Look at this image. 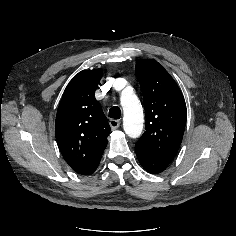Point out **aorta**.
<instances>
[{
    "label": "aorta",
    "instance_id": "762f6f07",
    "mask_svg": "<svg viewBox=\"0 0 236 236\" xmlns=\"http://www.w3.org/2000/svg\"><path fill=\"white\" fill-rule=\"evenodd\" d=\"M121 105L124 112L123 127L125 133L132 138L140 136L143 130V111L138 97L131 90L124 91L121 96Z\"/></svg>",
    "mask_w": 236,
    "mask_h": 236
}]
</instances>
